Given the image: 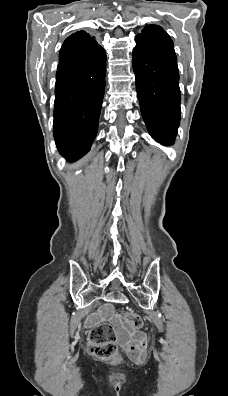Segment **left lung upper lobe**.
<instances>
[{
	"label": "left lung upper lobe",
	"mask_w": 228,
	"mask_h": 396,
	"mask_svg": "<svg viewBox=\"0 0 228 396\" xmlns=\"http://www.w3.org/2000/svg\"><path fill=\"white\" fill-rule=\"evenodd\" d=\"M155 27H157V25H147V26L143 29L142 32L150 31L151 29H153V28H155Z\"/></svg>",
	"instance_id": "1"
}]
</instances>
